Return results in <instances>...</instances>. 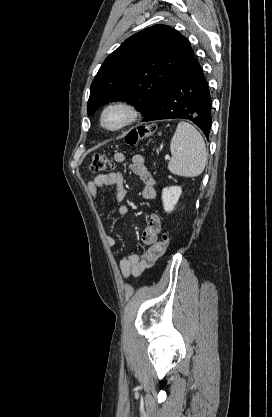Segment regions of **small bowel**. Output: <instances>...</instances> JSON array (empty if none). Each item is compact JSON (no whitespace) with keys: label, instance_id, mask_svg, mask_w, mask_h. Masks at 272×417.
<instances>
[{"label":"small bowel","instance_id":"c3829d8e","mask_svg":"<svg viewBox=\"0 0 272 417\" xmlns=\"http://www.w3.org/2000/svg\"><path fill=\"white\" fill-rule=\"evenodd\" d=\"M114 159L116 162L124 163L126 161V155L117 152L114 155ZM131 166L133 172L143 183L142 197L145 200L154 199L158 182L151 173L143 156L134 155L131 159ZM104 186H115V200L118 202L123 200L126 190L122 173L111 172L99 174L87 183L88 191L94 198L98 196L99 191ZM118 211L121 215H125L128 212V208L126 206H120ZM161 230L162 221L160 216L151 214L142 232V241L147 246V249L142 255L129 254L120 261L119 269L124 277L140 275L147 268L152 267L156 260L165 252L166 247L162 246L158 238ZM107 242L110 246H115L117 243L116 239L112 236L107 237Z\"/></svg>","mask_w":272,"mask_h":417}]
</instances>
